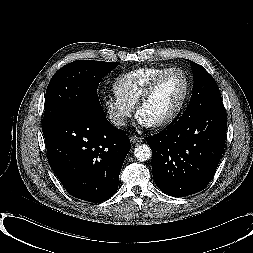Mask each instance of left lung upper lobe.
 I'll list each match as a JSON object with an SVG mask.
<instances>
[{"label": "left lung upper lobe", "instance_id": "left-lung-upper-lobe-1", "mask_svg": "<svg viewBox=\"0 0 253 253\" xmlns=\"http://www.w3.org/2000/svg\"><path fill=\"white\" fill-rule=\"evenodd\" d=\"M194 85L191 100L183 116L198 112L222 102L220 91L213 77L199 64L191 62Z\"/></svg>", "mask_w": 253, "mask_h": 253}]
</instances>
